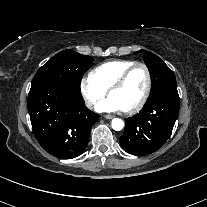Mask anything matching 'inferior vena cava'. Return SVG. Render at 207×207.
Segmentation results:
<instances>
[{
    "mask_svg": "<svg viewBox=\"0 0 207 207\" xmlns=\"http://www.w3.org/2000/svg\"><path fill=\"white\" fill-rule=\"evenodd\" d=\"M95 103L94 102H87V107L92 109L94 107Z\"/></svg>",
    "mask_w": 207,
    "mask_h": 207,
    "instance_id": "obj_1",
    "label": "inferior vena cava"
}]
</instances>
